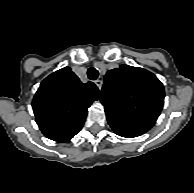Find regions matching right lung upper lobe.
I'll list each match as a JSON object with an SVG mask.
<instances>
[{"mask_svg":"<svg viewBox=\"0 0 194 193\" xmlns=\"http://www.w3.org/2000/svg\"><path fill=\"white\" fill-rule=\"evenodd\" d=\"M99 98L94 83H82L70 67H64L40 84L32 102L36 123L49 139L66 141L81 130L88 108Z\"/></svg>","mask_w":194,"mask_h":193,"instance_id":"1","label":"right lung upper lobe"}]
</instances>
